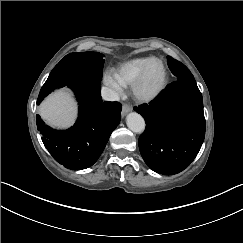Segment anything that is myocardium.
<instances>
[{"label": "myocardium", "mask_w": 243, "mask_h": 243, "mask_svg": "<svg viewBox=\"0 0 243 243\" xmlns=\"http://www.w3.org/2000/svg\"><path fill=\"white\" fill-rule=\"evenodd\" d=\"M154 63H159L164 71V78L162 83L154 90L146 92L144 90L146 82L150 76L151 69ZM170 82V73L169 69L166 64L162 60H154L151 64H149L144 71L142 72L141 76L135 82V84L131 88V93L134 100L138 103H151L159 98L167 89Z\"/></svg>", "instance_id": "myocardium-1"}]
</instances>
